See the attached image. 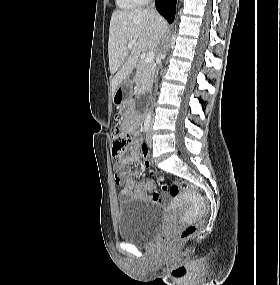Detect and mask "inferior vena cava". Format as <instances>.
<instances>
[{
  "mask_svg": "<svg viewBox=\"0 0 280 285\" xmlns=\"http://www.w3.org/2000/svg\"><path fill=\"white\" fill-rule=\"evenodd\" d=\"M154 6V3L151 5V7L150 8H152Z\"/></svg>",
  "mask_w": 280,
  "mask_h": 285,
  "instance_id": "inferior-vena-cava-1",
  "label": "inferior vena cava"
}]
</instances>
